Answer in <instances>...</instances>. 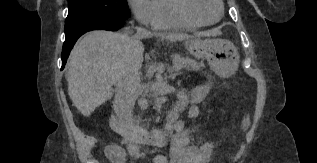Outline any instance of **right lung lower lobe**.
I'll list each match as a JSON object with an SVG mask.
<instances>
[{"label":"right lung lower lobe","instance_id":"98d812e1","mask_svg":"<svg viewBox=\"0 0 317 163\" xmlns=\"http://www.w3.org/2000/svg\"><path fill=\"white\" fill-rule=\"evenodd\" d=\"M125 23V20L122 19H101L98 21H95L93 23H90L88 25H85L83 27H80L70 33L65 34V42L63 44V50H62V68H64L67 58L69 56L70 51L72 50L75 42L77 39L83 35L84 33L91 31V30H111L116 31L120 29Z\"/></svg>","mask_w":317,"mask_h":163}]
</instances>
